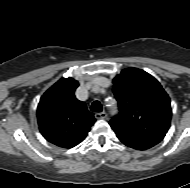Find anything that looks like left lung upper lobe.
<instances>
[{"label":"left lung upper lobe","mask_w":190,"mask_h":188,"mask_svg":"<svg viewBox=\"0 0 190 188\" xmlns=\"http://www.w3.org/2000/svg\"><path fill=\"white\" fill-rule=\"evenodd\" d=\"M113 83L119 114L109 124L166 135L172 114L170 99L153 76L137 68H127Z\"/></svg>","instance_id":"left-lung-upper-lobe-1"}]
</instances>
